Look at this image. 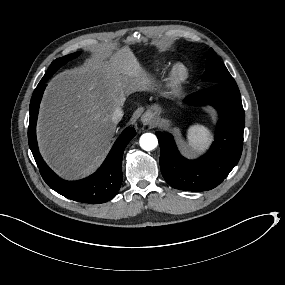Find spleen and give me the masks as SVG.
<instances>
[{
	"label": "spleen",
	"instance_id": "obj_1",
	"mask_svg": "<svg viewBox=\"0 0 285 285\" xmlns=\"http://www.w3.org/2000/svg\"><path fill=\"white\" fill-rule=\"evenodd\" d=\"M187 149L190 154H200L209 147L212 134L209 129L200 124H194L187 131Z\"/></svg>",
	"mask_w": 285,
	"mask_h": 285
}]
</instances>
